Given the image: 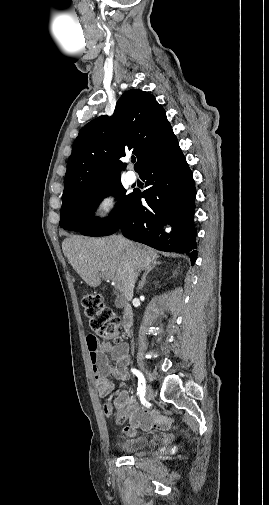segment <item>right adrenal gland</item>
<instances>
[{"label":"right adrenal gland","mask_w":269,"mask_h":505,"mask_svg":"<svg viewBox=\"0 0 269 505\" xmlns=\"http://www.w3.org/2000/svg\"><path fill=\"white\" fill-rule=\"evenodd\" d=\"M160 264H161V262H159V261H154V262L152 263V265H151V266L147 267V269H146L145 273L143 274L142 280H141V282L139 283L138 289H142V288H143V286H144V284H145V282H146V277H147V275L149 274V272H150L151 270H153V269L155 268V266L160 265Z\"/></svg>","instance_id":"right-adrenal-gland-1"}]
</instances>
